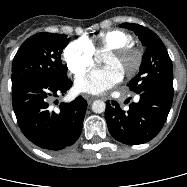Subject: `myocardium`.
I'll return each mask as SVG.
<instances>
[{
	"mask_svg": "<svg viewBox=\"0 0 187 187\" xmlns=\"http://www.w3.org/2000/svg\"><path fill=\"white\" fill-rule=\"evenodd\" d=\"M129 54L134 55L135 61L132 68L123 75L125 78H132L140 71L143 63L142 51L134 45H123L106 52V55H110L116 58H120Z\"/></svg>",
	"mask_w": 187,
	"mask_h": 187,
	"instance_id": "1",
	"label": "myocardium"
}]
</instances>
